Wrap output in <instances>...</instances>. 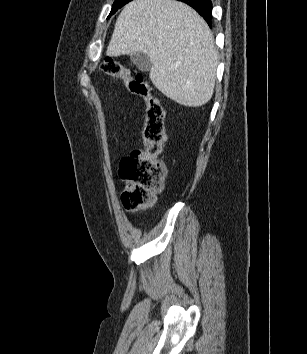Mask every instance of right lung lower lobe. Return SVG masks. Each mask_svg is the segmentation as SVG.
I'll list each match as a JSON object with an SVG mask.
<instances>
[{"instance_id": "98d812e1", "label": "right lung lower lobe", "mask_w": 307, "mask_h": 354, "mask_svg": "<svg viewBox=\"0 0 307 354\" xmlns=\"http://www.w3.org/2000/svg\"><path fill=\"white\" fill-rule=\"evenodd\" d=\"M193 7L211 26L212 2L210 0H179Z\"/></svg>"}]
</instances>
